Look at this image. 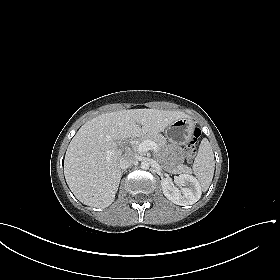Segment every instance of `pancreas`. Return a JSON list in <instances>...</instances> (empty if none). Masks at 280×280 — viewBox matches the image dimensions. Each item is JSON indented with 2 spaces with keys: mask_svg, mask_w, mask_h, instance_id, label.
Segmentation results:
<instances>
[{
  "mask_svg": "<svg viewBox=\"0 0 280 280\" xmlns=\"http://www.w3.org/2000/svg\"><path fill=\"white\" fill-rule=\"evenodd\" d=\"M145 140H151L155 142L159 147H163L166 144L165 138L160 134L145 135L139 139V143H142ZM166 169L174 173H189L191 171L190 168L186 165H178L177 168L173 170H170L169 168Z\"/></svg>",
  "mask_w": 280,
  "mask_h": 280,
  "instance_id": "cf45deb5",
  "label": "pancreas"
}]
</instances>
